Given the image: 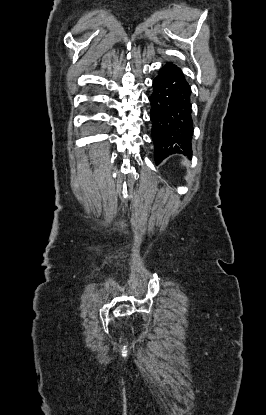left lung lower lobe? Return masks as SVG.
Here are the masks:
<instances>
[{"instance_id": "1", "label": "left lung lower lobe", "mask_w": 266, "mask_h": 415, "mask_svg": "<svg viewBox=\"0 0 266 415\" xmlns=\"http://www.w3.org/2000/svg\"><path fill=\"white\" fill-rule=\"evenodd\" d=\"M152 140L156 164L172 154H192L191 87L182 70L166 63L153 81Z\"/></svg>"}]
</instances>
